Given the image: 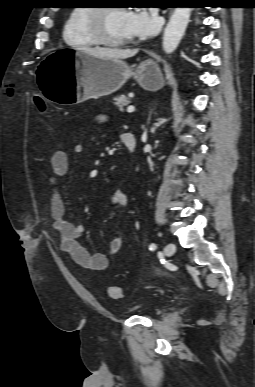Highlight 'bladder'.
<instances>
[{
    "mask_svg": "<svg viewBox=\"0 0 255 387\" xmlns=\"http://www.w3.org/2000/svg\"><path fill=\"white\" fill-rule=\"evenodd\" d=\"M156 308H151L148 307L146 304H139L135 305L130 308L129 312L131 313H136V314H141V315H148L152 312H155Z\"/></svg>",
    "mask_w": 255,
    "mask_h": 387,
    "instance_id": "31cf9c89",
    "label": "bladder"
}]
</instances>
